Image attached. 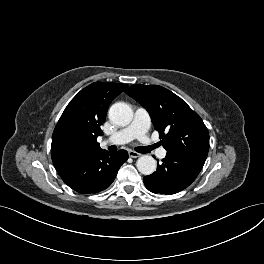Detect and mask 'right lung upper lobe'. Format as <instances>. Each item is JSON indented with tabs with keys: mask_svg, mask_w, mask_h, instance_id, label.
<instances>
[{
	"mask_svg": "<svg viewBox=\"0 0 264 264\" xmlns=\"http://www.w3.org/2000/svg\"><path fill=\"white\" fill-rule=\"evenodd\" d=\"M128 86L95 82L81 90L67 105L52 136V161L58 172L102 151L97 137L103 132L107 109Z\"/></svg>",
	"mask_w": 264,
	"mask_h": 264,
	"instance_id": "obj_1",
	"label": "right lung upper lobe"
}]
</instances>
